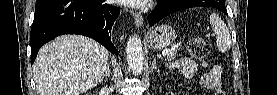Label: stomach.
<instances>
[{
  "mask_svg": "<svg viewBox=\"0 0 277 95\" xmlns=\"http://www.w3.org/2000/svg\"><path fill=\"white\" fill-rule=\"evenodd\" d=\"M175 30L166 24H162L148 32L147 42L151 49L161 50L175 40Z\"/></svg>",
  "mask_w": 277,
  "mask_h": 95,
  "instance_id": "stomach-1",
  "label": "stomach"
}]
</instances>
